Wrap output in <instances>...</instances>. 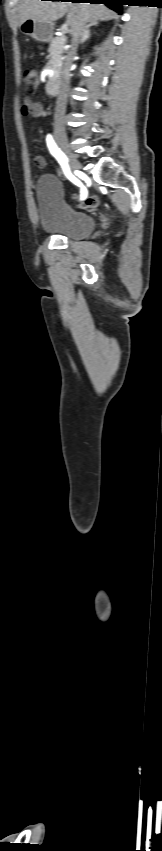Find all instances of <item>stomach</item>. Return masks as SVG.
I'll list each match as a JSON object with an SVG mask.
<instances>
[{
	"label": "stomach",
	"instance_id": "obj_1",
	"mask_svg": "<svg viewBox=\"0 0 162 851\" xmlns=\"http://www.w3.org/2000/svg\"><path fill=\"white\" fill-rule=\"evenodd\" d=\"M20 31L37 41L49 42L53 37V24L26 19L20 24Z\"/></svg>",
	"mask_w": 162,
	"mask_h": 851
}]
</instances>
